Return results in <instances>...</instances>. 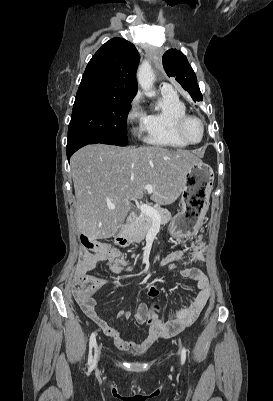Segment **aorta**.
Returning a JSON list of instances; mask_svg holds the SVG:
<instances>
[{
	"label": "aorta",
	"instance_id": "1",
	"mask_svg": "<svg viewBox=\"0 0 273 401\" xmlns=\"http://www.w3.org/2000/svg\"><path fill=\"white\" fill-rule=\"evenodd\" d=\"M154 73L152 71L151 65L148 61H143L139 66L137 72L138 84L142 88L144 94L148 97H152L155 95L153 92V83H154Z\"/></svg>",
	"mask_w": 273,
	"mask_h": 401
}]
</instances>
